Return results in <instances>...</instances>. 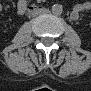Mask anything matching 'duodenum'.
<instances>
[{
  "mask_svg": "<svg viewBox=\"0 0 91 91\" xmlns=\"http://www.w3.org/2000/svg\"><path fill=\"white\" fill-rule=\"evenodd\" d=\"M45 9V6L43 5H34L30 8V11L37 12V11H43Z\"/></svg>",
  "mask_w": 91,
  "mask_h": 91,
  "instance_id": "obj_1",
  "label": "duodenum"
}]
</instances>
